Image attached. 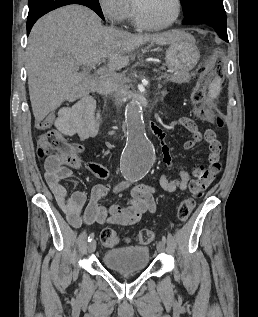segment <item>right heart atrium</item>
<instances>
[{
  "label": "right heart atrium",
  "mask_w": 258,
  "mask_h": 317,
  "mask_svg": "<svg viewBox=\"0 0 258 317\" xmlns=\"http://www.w3.org/2000/svg\"><path fill=\"white\" fill-rule=\"evenodd\" d=\"M99 5L110 24L122 25L130 15V4L127 0H100Z\"/></svg>",
  "instance_id": "1"
}]
</instances>
